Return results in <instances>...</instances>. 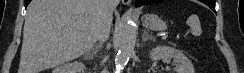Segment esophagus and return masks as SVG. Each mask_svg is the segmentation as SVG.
Returning a JSON list of instances; mask_svg holds the SVG:
<instances>
[{
    "instance_id": "34e87169",
    "label": "esophagus",
    "mask_w": 244,
    "mask_h": 73,
    "mask_svg": "<svg viewBox=\"0 0 244 73\" xmlns=\"http://www.w3.org/2000/svg\"><path fill=\"white\" fill-rule=\"evenodd\" d=\"M122 3H123L124 5H130L131 0H122Z\"/></svg>"
}]
</instances>
